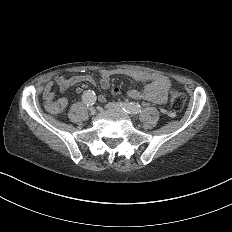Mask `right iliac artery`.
<instances>
[{
	"label": "right iliac artery",
	"instance_id": "right-iliac-artery-1",
	"mask_svg": "<svg viewBox=\"0 0 232 232\" xmlns=\"http://www.w3.org/2000/svg\"><path fill=\"white\" fill-rule=\"evenodd\" d=\"M82 101L86 104H94L96 101V94L93 90H87L82 94Z\"/></svg>",
	"mask_w": 232,
	"mask_h": 232
}]
</instances>
